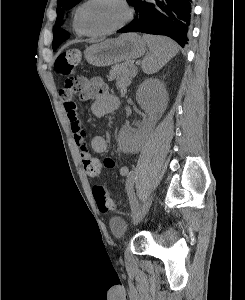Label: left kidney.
Listing matches in <instances>:
<instances>
[{"label":"left kidney","instance_id":"1","mask_svg":"<svg viewBox=\"0 0 245 300\" xmlns=\"http://www.w3.org/2000/svg\"><path fill=\"white\" fill-rule=\"evenodd\" d=\"M136 100L141 108L148 113L150 125L155 124L167 107L168 94L165 84L159 79L145 80L137 90ZM139 143L138 132L127 128L121 130L120 144L124 151L135 149Z\"/></svg>","mask_w":245,"mask_h":300}]
</instances>
